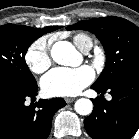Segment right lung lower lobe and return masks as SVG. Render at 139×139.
Returning a JSON list of instances; mask_svg holds the SVG:
<instances>
[{
    "mask_svg": "<svg viewBox=\"0 0 139 139\" xmlns=\"http://www.w3.org/2000/svg\"><path fill=\"white\" fill-rule=\"evenodd\" d=\"M37 89V85L28 89L0 81V139H47L54 114L66 103L53 98L26 106L28 98L35 99Z\"/></svg>",
    "mask_w": 139,
    "mask_h": 139,
    "instance_id": "obj_1",
    "label": "right lung lower lobe"
}]
</instances>
